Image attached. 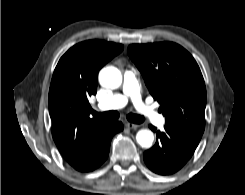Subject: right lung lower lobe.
<instances>
[{
	"label": "right lung lower lobe",
	"mask_w": 245,
	"mask_h": 195,
	"mask_svg": "<svg viewBox=\"0 0 245 195\" xmlns=\"http://www.w3.org/2000/svg\"><path fill=\"white\" fill-rule=\"evenodd\" d=\"M123 130L121 122H107L98 132L95 140V157L92 163L81 172H89L98 168L107 159L110 149V142L114 134Z\"/></svg>",
	"instance_id": "right-lung-lower-lobe-1"
}]
</instances>
